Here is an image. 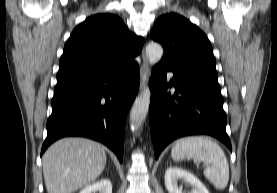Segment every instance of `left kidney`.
<instances>
[{"instance_id":"left-kidney-1","label":"left kidney","mask_w":277,"mask_h":193,"mask_svg":"<svg viewBox=\"0 0 277 193\" xmlns=\"http://www.w3.org/2000/svg\"><path fill=\"white\" fill-rule=\"evenodd\" d=\"M181 179L193 187L188 193H210L197 177L178 167H169L165 172V186L169 193H183L177 185Z\"/></svg>"}]
</instances>
